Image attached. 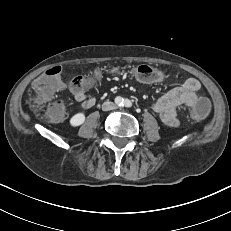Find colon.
Segmentation results:
<instances>
[{
  "instance_id": "1",
  "label": "colon",
  "mask_w": 231,
  "mask_h": 231,
  "mask_svg": "<svg viewBox=\"0 0 231 231\" xmlns=\"http://www.w3.org/2000/svg\"><path fill=\"white\" fill-rule=\"evenodd\" d=\"M130 71L133 73L134 79L141 84L161 86L166 81V78L161 70L147 65L132 67ZM61 72V66H54L50 68L46 74L34 80L33 89L39 94L37 98L38 101H40L42 97H51L61 88ZM117 72H119V68L117 67L109 69L96 68L89 76H78L74 78L71 82V87L75 91H85L99 81L104 74ZM212 109L211 101L202 96L196 100V103L192 106L191 111L195 120L203 121L209 117ZM65 110L66 108L64 103L60 100H56L49 105L47 109V116L50 120L57 121L64 116Z\"/></svg>"
}]
</instances>
